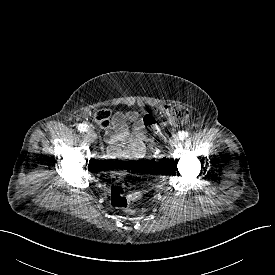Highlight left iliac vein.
Wrapping results in <instances>:
<instances>
[{"label":"left iliac vein","mask_w":275,"mask_h":275,"mask_svg":"<svg viewBox=\"0 0 275 275\" xmlns=\"http://www.w3.org/2000/svg\"><path fill=\"white\" fill-rule=\"evenodd\" d=\"M171 146L175 147L179 144V138L178 136H173L170 140Z\"/></svg>","instance_id":"left-iliac-vein-1"}]
</instances>
